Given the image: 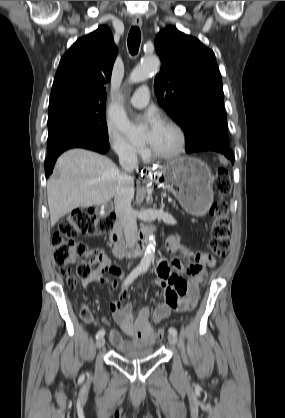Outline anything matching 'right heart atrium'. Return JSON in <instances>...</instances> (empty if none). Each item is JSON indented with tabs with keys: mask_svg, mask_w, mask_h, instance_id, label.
<instances>
[{
	"mask_svg": "<svg viewBox=\"0 0 285 418\" xmlns=\"http://www.w3.org/2000/svg\"><path fill=\"white\" fill-rule=\"evenodd\" d=\"M108 146L122 159H134L145 151L133 145L124 133L114 126H109L106 135Z\"/></svg>",
	"mask_w": 285,
	"mask_h": 418,
	"instance_id": "right-heart-atrium-1",
	"label": "right heart atrium"
}]
</instances>
